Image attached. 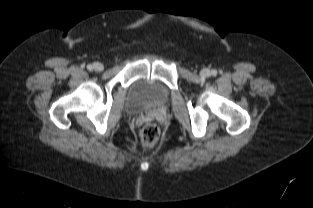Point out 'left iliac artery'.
<instances>
[{
  "mask_svg": "<svg viewBox=\"0 0 313 208\" xmlns=\"http://www.w3.org/2000/svg\"><path fill=\"white\" fill-rule=\"evenodd\" d=\"M211 73H212L213 76L216 75V71H214V70Z\"/></svg>",
  "mask_w": 313,
  "mask_h": 208,
  "instance_id": "left-iliac-artery-1",
  "label": "left iliac artery"
}]
</instances>
